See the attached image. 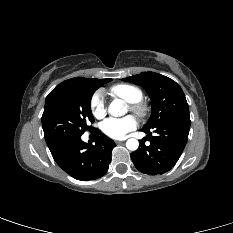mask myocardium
Returning <instances> with one entry per match:
<instances>
[{
    "label": "myocardium",
    "mask_w": 233,
    "mask_h": 233,
    "mask_svg": "<svg viewBox=\"0 0 233 233\" xmlns=\"http://www.w3.org/2000/svg\"><path fill=\"white\" fill-rule=\"evenodd\" d=\"M129 110L140 118H145L150 113V105L142 100L130 103L128 106Z\"/></svg>",
    "instance_id": "myocardium-1"
}]
</instances>
